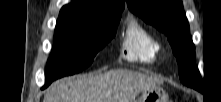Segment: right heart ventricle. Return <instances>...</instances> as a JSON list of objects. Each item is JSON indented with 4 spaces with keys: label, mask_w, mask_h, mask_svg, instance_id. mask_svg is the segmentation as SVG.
Here are the masks:
<instances>
[{
    "label": "right heart ventricle",
    "mask_w": 221,
    "mask_h": 102,
    "mask_svg": "<svg viewBox=\"0 0 221 102\" xmlns=\"http://www.w3.org/2000/svg\"><path fill=\"white\" fill-rule=\"evenodd\" d=\"M161 51L158 39L137 20H131L125 29L122 56L133 62L152 63Z\"/></svg>",
    "instance_id": "1"
}]
</instances>
